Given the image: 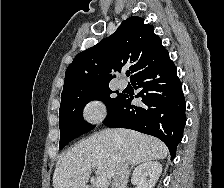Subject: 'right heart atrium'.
Wrapping results in <instances>:
<instances>
[{"mask_svg":"<svg viewBox=\"0 0 224 188\" xmlns=\"http://www.w3.org/2000/svg\"><path fill=\"white\" fill-rule=\"evenodd\" d=\"M107 115L106 104L97 98L88 100L82 108L83 119L89 124L100 123Z\"/></svg>","mask_w":224,"mask_h":188,"instance_id":"d8ad5b80","label":"right heart atrium"}]
</instances>
